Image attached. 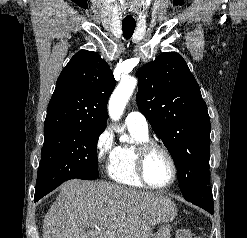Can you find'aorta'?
I'll use <instances>...</instances> for the list:
<instances>
[{"label": "aorta", "instance_id": "obj_1", "mask_svg": "<svg viewBox=\"0 0 247 238\" xmlns=\"http://www.w3.org/2000/svg\"><path fill=\"white\" fill-rule=\"evenodd\" d=\"M136 85L137 80L135 78L124 77L112 93L108 103V113L113 121H118L121 118ZM120 141H128V136L125 134L121 135Z\"/></svg>", "mask_w": 247, "mask_h": 238}]
</instances>
